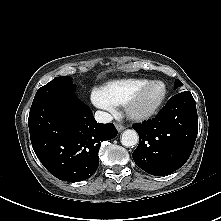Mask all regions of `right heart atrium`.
Segmentation results:
<instances>
[{"mask_svg":"<svg viewBox=\"0 0 221 221\" xmlns=\"http://www.w3.org/2000/svg\"><path fill=\"white\" fill-rule=\"evenodd\" d=\"M90 99L97 108L103 110L107 115L111 116L115 114V105L104 96L101 89L94 88L91 91Z\"/></svg>","mask_w":221,"mask_h":221,"instance_id":"d8ad5b80","label":"right heart atrium"}]
</instances>
